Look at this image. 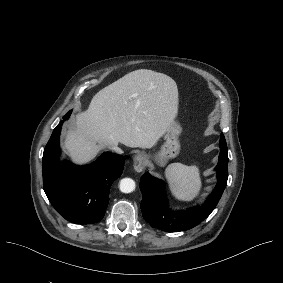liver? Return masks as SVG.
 Returning a JSON list of instances; mask_svg holds the SVG:
<instances>
[{"mask_svg":"<svg viewBox=\"0 0 283 283\" xmlns=\"http://www.w3.org/2000/svg\"><path fill=\"white\" fill-rule=\"evenodd\" d=\"M176 99V82L160 72L138 69L114 81L75 114L63 138L71 162L85 165L119 143L150 147L176 117Z\"/></svg>","mask_w":283,"mask_h":283,"instance_id":"obj_1","label":"liver"}]
</instances>
